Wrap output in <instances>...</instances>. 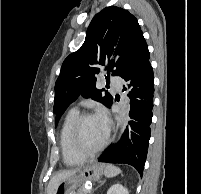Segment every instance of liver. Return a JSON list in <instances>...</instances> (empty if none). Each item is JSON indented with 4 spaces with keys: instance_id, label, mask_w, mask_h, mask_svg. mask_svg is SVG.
Returning <instances> with one entry per match:
<instances>
[{
    "instance_id": "1",
    "label": "liver",
    "mask_w": 201,
    "mask_h": 194,
    "mask_svg": "<svg viewBox=\"0 0 201 194\" xmlns=\"http://www.w3.org/2000/svg\"><path fill=\"white\" fill-rule=\"evenodd\" d=\"M78 171L79 169H73V170H64L57 173L54 177H52V179L50 180L48 184L47 194H53L58 184L62 180L75 175Z\"/></svg>"
}]
</instances>
